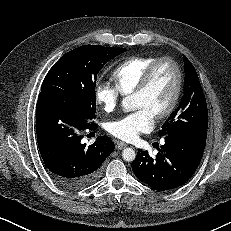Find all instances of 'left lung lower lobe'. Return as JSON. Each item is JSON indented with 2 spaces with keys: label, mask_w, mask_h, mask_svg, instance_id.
I'll list each match as a JSON object with an SVG mask.
<instances>
[{
  "label": "left lung lower lobe",
  "mask_w": 231,
  "mask_h": 231,
  "mask_svg": "<svg viewBox=\"0 0 231 231\" xmlns=\"http://www.w3.org/2000/svg\"><path fill=\"white\" fill-rule=\"evenodd\" d=\"M156 157L148 151L137 153L132 170L137 178L154 189H175L187 182L197 169L206 138L189 135H166Z\"/></svg>",
  "instance_id": "1"
}]
</instances>
